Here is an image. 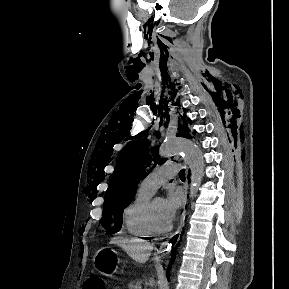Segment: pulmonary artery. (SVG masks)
<instances>
[{
  "instance_id": "pulmonary-artery-1",
  "label": "pulmonary artery",
  "mask_w": 289,
  "mask_h": 289,
  "mask_svg": "<svg viewBox=\"0 0 289 289\" xmlns=\"http://www.w3.org/2000/svg\"><path fill=\"white\" fill-rule=\"evenodd\" d=\"M177 171V164L173 161H167L149 173L140 182L139 189L153 194L159 186L173 178L177 174Z\"/></svg>"
}]
</instances>
